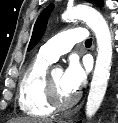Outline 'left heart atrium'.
<instances>
[{"label":"left heart atrium","instance_id":"obj_1","mask_svg":"<svg viewBox=\"0 0 118 123\" xmlns=\"http://www.w3.org/2000/svg\"><path fill=\"white\" fill-rule=\"evenodd\" d=\"M86 80V69L76 57L69 59L66 70L63 73V82L72 92L78 91Z\"/></svg>","mask_w":118,"mask_h":123}]
</instances>
